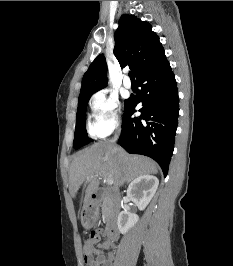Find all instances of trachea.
Listing matches in <instances>:
<instances>
[{"mask_svg": "<svg viewBox=\"0 0 233 266\" xmlns=\"http://www.w3.org/2000/svg\"><path fill=\"white\" fill-rule=\"evenodd\" d=\"M129 77H130L131 79H134V78H135V75H134V72H133V71H130V72H129Z\"/></svg>", "mask_w": 233, "mask_h": 266, "instance_id": "obj_1", "label": "trachea"}]
</instances>
